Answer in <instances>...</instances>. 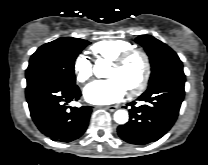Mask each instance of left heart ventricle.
I'll list each match as a JSON object with an SVG mask.
<instances>
[{
	"mask_svg": "<svg viewBox=\"0 0 208 165\" xmlns=\"http://www.w3.org/2000/svg\"><path fill=\"white\" fill-rule=\"evenodd\" d=\"M143 70L144 65L142 58L138 55H135L119 68L110 65V68L107 72V77L119 79L125 89L129 90L141 80Z\"/></svg>",
	"mask_w": 208,
	"mask_h": 165,
	"instance_id": "obj_1",
	"label": "left heart ventricle"
}]
</instances>
